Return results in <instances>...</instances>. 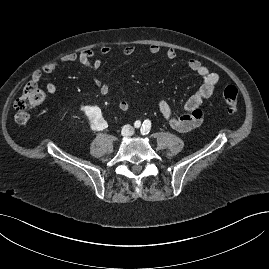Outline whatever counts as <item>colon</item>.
Segmentation results:
<instances>
[{
	"mask_svg": "<svg viewBox=\"0 0 269 269\" xmlns=\"http://www.w3.org/2000/svg\"><path fill=\"white\" fill-rule=\"evenodd\" d=\"M224 102L230 114L238 112V90L234 86H226L221 90ZM46 96L37 83L31 81L24 85L21 94L15 100V121L24 125L30 119V110L40 105Z\"/></svg>",
	"mask_w": 269,
	"mask_h": 269,
	"instance_id": "1",
	"label": "colon"
}]
</instances>
